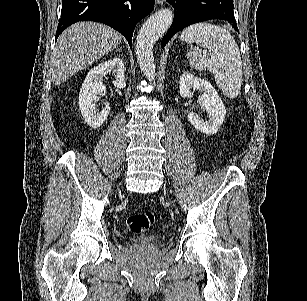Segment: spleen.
Instances as JSON below:
<instances>
[{
    "label": "spleen",
    "mask_w": 307,
    "mask_h": 301,
    "mask_svg": "<svg viewBox=\"0 0 307 301\" xmlns=\"http://www.w3.org/2000/svg\"><path fill=\"white\" fill-rule=\"evenodd\" d=\"M180 38L208 48L206 56L197 50H189L187 58L190 66L212 72L222 94L237 98L242 84V60L239 46L231 32L211 22H197L184 28Z\"/></svg>",
    "instance_id": "3e777b00"
}]
</instances>
